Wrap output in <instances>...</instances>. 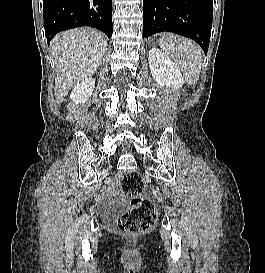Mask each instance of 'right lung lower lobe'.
<instances>
[{
	"label": "right lung lower lobe",
	"mask_w": 265,
	"mask_h": 273,
	"mask_svg": "<svg viewBox=\"0 0 265 273\" xmlns=\"http://www.w3.org/2000/svg\"><path fill=\"white\" fill-rule=\"evenodd\" d=\"M112 0H43L47 42L60 31L90 26L109 38L113 32Z\"/></svg>",
	"instance_id": "98d812e1"
}]
</instances>
